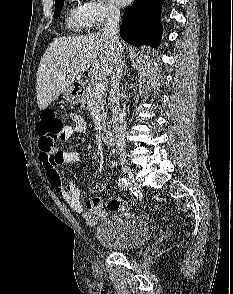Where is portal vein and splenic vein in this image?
<instances>
[{
  "label": "portal vein and splenic vein",
  "mask_w": 233,
  "mask_h": 294,
  "mask_svg": "<svg viewBox=\"0 0 233 294\" xmlns=\"http://www.w3.org/2000/svg\"><path fill=\"white\" fill-rule=\"evenodd\" d=\"M105 86L102 83H96L93 87V92L95 95H101L104 93Z\"/></svg>",
  "instance_id": "18ae733b"
}]
</instances>
